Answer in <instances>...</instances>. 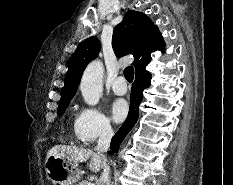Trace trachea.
Instances as JSON below:
<instances>
[{"instance_id": "1", "label": "trachea", "mask_w": 233, "mask_h": 185, "mask_svg": "<svg viewBox=\"0 0 233 185\" xmlns=\"http://www.w3.org/2000/svg\"><path fill=\"white\" fill-rule=\"evenodd\" d=\"M124 76L128 82H132L134 78V68L132 66H128L124 70Z\"/></svg>"}]
</instances>
